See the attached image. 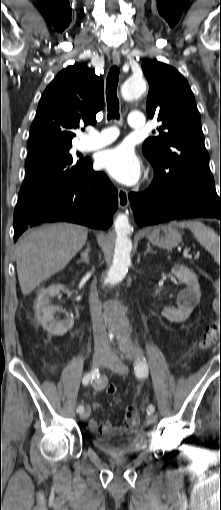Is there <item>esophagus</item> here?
Instances as JSON below:
<instances>
[{
  "label": "esophagus",
  "mask_w": 221,
  "mask_h": 510,
  "mask_svg": "<svg viewBox=\"0 0 221 510\" xmlns=\"http://www.w3.org/2000/svg\"><path fill=\"white\" fill-rule=\"evenodd\" d=\"M112 60H113L114 65H116V66L120 65L121 61H120L119 53L113 52ZM118 203H119V207L121 209L127 208L128 204H129L128 191L127 190H125L123 188H119L118 189Z\"/></svg>",
  "instance_id": "1"
}]
</instances>
